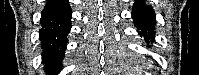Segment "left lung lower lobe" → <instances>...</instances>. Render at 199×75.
<instances>
[{
  "instance_id": "left-lung-lower-lobe-1",
  "label": "left lung lower lobe",
  "mask_w": 199,
  "mask_h": 75,
  "mask_svg": "<svg viewBox=\"0 0 199 75\" xmlns=\"http://www.w3.org/2000/svg\"><path fill=\"white\" fill-rule=\"evenodd\" d=\"M132 18L137 30H140L139 35L144 36L147 42H154L156 34L154 9L145 4L144 0H136L132 8Z\"/></svg>"
}]
</instances>
